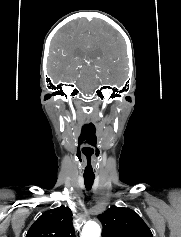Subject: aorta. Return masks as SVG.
I'll use <instances>...</instances> for the list:
<instances>
[{"label":"aorta","mask_w":181,"mask_h":237,"mask_svg":"<svg viewBox=\"0 0 181 237\" xmlns=\"http://www.w3.org/2000/svg\"><path fill=\"white\" fill-rule=\"evenodd\" d=\"M101 228L96 222L85 224L81 237H100Z\"/></svg>","instance_id":"obj_1"}]
</instances>
